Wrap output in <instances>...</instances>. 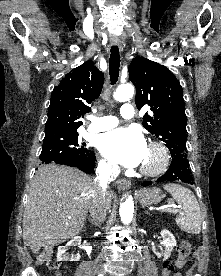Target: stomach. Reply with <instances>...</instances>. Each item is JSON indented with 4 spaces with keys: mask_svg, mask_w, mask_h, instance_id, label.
<instances>
[{
    "mask_svg": "<svg viewBox=\"0 0 221 276\" xmlns=\"http://www.w3.org/2000/svg\"><path fill=\"white\" fill-rule=\"evenodd\" d=\"M163 197L162 191L156 187L144 189L138 193V200L143 206L156 205L162 201Z\"/></svg>",
    "mask_w": 221,
    "mask_h": 276,
    "instance_id": "obj_1",
    "label": "stomach"
}]
</instances>
